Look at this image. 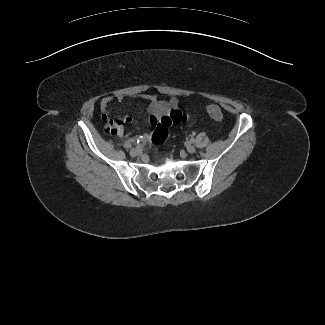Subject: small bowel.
<instances>
[{
    "label": "small bowel",
    "mask_w": 325,
    "mask_h": 325,
    "mask_svg": "<svg viewBox=\"0 0 325 325\" xmlns=\"http://www.w3.org/2000/svg\"><path fill=\"white\" fill-rule=\"evenodd\" d=\"M145 109L148 113L147 125L150 132L144 135L145 140H152L154 143H162L168 135V127L172 123H181L187 120L188 116L180 110H175L178 107V100L170 98L168 100H159L154 96L146 95ZM118 102H124L126 96L117 95ZM113 102L112 96H106L101 100L102 120L107 123L106 130L109 133L116 135L123 134V126L130 124L133 119L130 116L114 118L109 112V106Z\"/></svg>",
    "instance_id": "1"
}]
</instances>
